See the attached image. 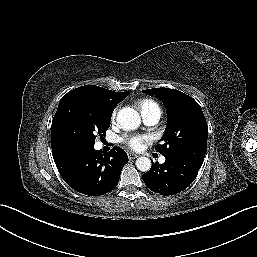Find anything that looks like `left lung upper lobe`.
<instances>
[{"mask_svg":"<svg viewBox=\"0 0 257 257\" xmlns=\"http://www.w3.org/2000/svg\"><path fill=\"white\" fill-rule=\"evenodd\" d=\"M160 98L168 122L162 145L155 147L163 156L182 155L204 160L207 148V123L199 104L181 91L154 88L143 91Z\"/></svg>","mask_w":257,"mask_h":257,"instance_id":"obj_1","label":"left lung upper lobe"}]
</instances>
